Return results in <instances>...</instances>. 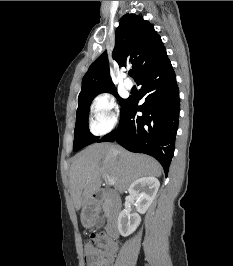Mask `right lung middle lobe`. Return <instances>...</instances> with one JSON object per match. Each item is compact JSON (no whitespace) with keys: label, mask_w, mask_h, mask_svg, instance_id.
Instances as JSON below:
<instances>
[{"label":"right lung middle lobe","mask_w":233,"mask_h":266,"mask_svg":"<svg viewBox=\"0 0 233 266\" xmlns=\"http://www.w3.org/2000/svg\"><path fill=\"white\" fill-rule=\"evenodd\" d=\"M103 92H109L114 94L117 99L120 100L121 104V110L126 105L128 99H121L115 89L103 91ZM101 93V92H100ZM99 93L79 99L78 102V109L76 111V126L74 130V143H73V150L78 151L79 149L95 142L98 140V137L93 136L88 128V113H89V107L94 99L95 96H97Z\"/></svg>","instance_id":"right-lung-middle-lobe-1"}]
</instances>
